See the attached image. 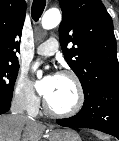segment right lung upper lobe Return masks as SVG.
Segmentation results:
<instances>
[{
	"mask_svg": "<svg viewBox=\"0 0 119 141\" xmlns=\"http://www.w3.org/2000/svg\"><path fill=\"white\" fill-rule=\"evenodd\" d=\"M25 14L24 0H0V62L16 63Z\"/></svg>",
	"mask_w": 119,
	"mask_h": 141,
	"instance_id": "obj_1",
	"label": "right lung upper lobe"
}]
</instances>
